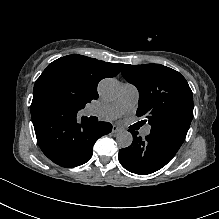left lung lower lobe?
Here are the masks:
<instances>
[{
    "label": "left lung lower lobe",
    "instance_id": "left-lung-lower-lobe-1",
    "mask_svg": "<svg viewBox=\"0 0 219 219\" xmlns=\"http://www.w3.org/2000/svg\"><path fill=\"white\" fill-rule=\"evenodd\" d=\"M130 132L133 142L129 147L119 150V161L126 170L135 174L147 175L158 171L180 148L157 134L150 133L142 138L137 131Z\"/></svg>",
    "mask_w": 219,
    "mask_h": 219
}]
</instances>
